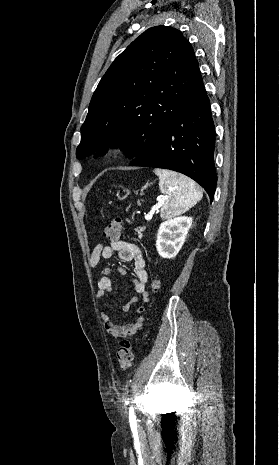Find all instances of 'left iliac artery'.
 Segmentation results:
<instances>
[{"mask_svg":"<svg viewBox=\"0 0 279 465\" xmlns=\"http://www.w3.org/2000/svg\"><path fill=\"white\" fill-rule=\"evenodd\" d=\"M126 403L128 404V401ZM129 419L130 421H135V414H134V410L132 407H130L129 409Z\"/></svg>","mask_w":279,"mask_h":465,"instance_id":"left-iliac-artery-1","label":"left iliac artery"}]
</instances>
